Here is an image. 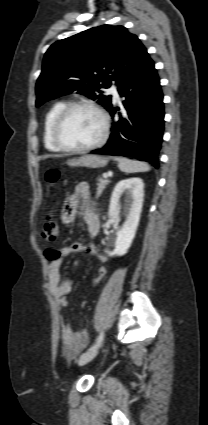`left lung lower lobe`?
<instances>
[{
	"mask_svg": "<svg viewBox=\"0 0 208 425\" xmlns=\"http://www.w3.org/2000/svg\"><path fill=\"white\" fill-rule=\"evenodd\" d=\"M125 97L124 111L112 124L107 144L92 150L94 154L133 157L159 167L158 153L164 130V104L160 79L154 62L146 53L135 72L118 87ZM112 117L120 110L111 104L107 109Z\"/></svg>",
	"mask_w": 208,
	"mask_h": 425,
	"instance_id": "left-lung-lower-lobe-1",
	"label": "left lung lower lobe"
}]
</instances>
